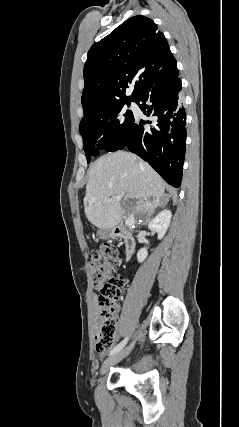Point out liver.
Wrapping results in <instances>:
<instances>
[{
  "label": "liver",
  "instance_id": "6515ba94",
  "mask_svg": "<svg viewBox=\"0 0 239 427\" xmlns=\"http://www.w3.org/2000/svg\"><path fill=\"white\" fill-rule=\"evenodd\" d=\"M88 176L84 211L99 229H113L129 214L120 203L122 198L138 199L132 215L141 211L151 215L156 207L165 205L162 178L132 153L118 151L100 157L90 167ZM117 196L121 199L115 200Z\"/></svg>",
  "mask_w": 239,
  "mask_h": 427
}]
</instances>
